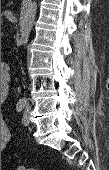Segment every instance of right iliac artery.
Here are the masks:
<instances>
[{
  "instance_id": "1",
  "label": "right iliac artery",
  "mask_w": 109,
  "mask_h": 170,
  "mask_svg": "<svg viewBox=\"0 0 109 170\" xmlns=\"http://www.w3.org/2000/svg\"><path fill=\"white\" fill-rule=\"evenodd\" d=\"M23 108H24V103L18 102L17 105H16L17 112H21Z\"/></svg>"
}]
</instances>
